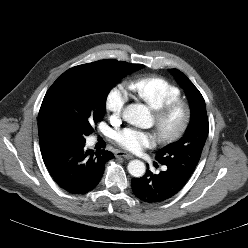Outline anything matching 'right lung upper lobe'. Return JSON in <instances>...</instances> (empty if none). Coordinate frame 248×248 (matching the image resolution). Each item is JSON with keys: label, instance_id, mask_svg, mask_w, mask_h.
Returning a JSON list of instances; mask_svg holds the SVG:
<instances>
[{"label": "right lung upper lobe", "instance_id": "cb5924a9", "mask_svg": "<svg viewBox=\"0 0 248 248\" xmlns=\"http://www.w3.org/2000/svg\"><path fill=\"white\" fill-rule=\"evenodd\" d=\"M38 132H39L40 150L42 156L47 155L49 152L58 148L61 145L70 143L60 135L43 128L39 124H38Z\"/></svg>", "mask_w": 248, "mask_h": 248}]
</instances>
